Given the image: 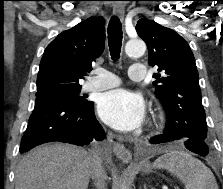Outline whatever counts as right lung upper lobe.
Wrapping results in <instances>:
<instances>
[{
  "instance_id": "obj_1",
  "label": "right lung upper lobe",
  "mask_w": 223,
  "mask_h": 189,
  "mask_svg": "<svg viewBox=\"0 0 223 189\" xmlns=\"http://www.w3.org/2000/svg\"><path fill=\"white\" fill-rule=\"evenodd\" d=\"M102 18L90 17L60 33L45 49L37 76V92L81 87L105 45Z\"/></svg>"
}]
</instances>
